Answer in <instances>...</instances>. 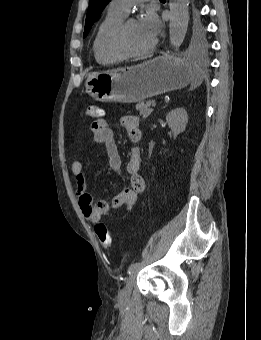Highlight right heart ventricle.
Returning a JSON list of instances; mask_svg holds the SVG:
<instances>
[{
  "label": "right heart ventricle",
  "instance_id": "e07e8e85",
  "mask_svg": "<svg viewBox=\"0 0 261 340\" xmlns=\"http://www.w3.org/2000/svg\"><path fill=\"white\" fill-rule=\"evenodd\" d=\"M124 18L123 14L109 8L99 23L92 44L94 57L99 64L110 65L122 59L109 50L108 37L113 28Z\"/></svg>",
  "mask_w": 261,
  "mask_h": 340
}]
</instances>
